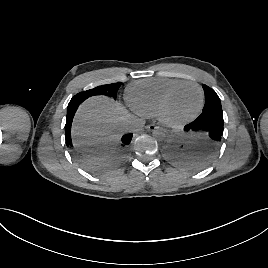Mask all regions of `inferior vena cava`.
<instances>
[{"instance_id":"inferior-vena-cava-1","label":"inferior vena cava","mask_w":268,"mask_h":268,"mask_svg":"<svg viewBox=\"0 0 268 268\" xmlns=\"http://www.w3.org/2000/svg\"><path fill=\"white\" fill-rule=\"evenodd\" d=\"M135 123V119H133V118H130L128 121H127V123H126V127H127V129L129 130V129H131L132 127H133V124Z\"/></svg>"}]
</instances>
